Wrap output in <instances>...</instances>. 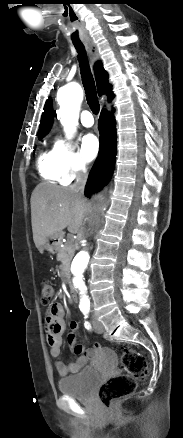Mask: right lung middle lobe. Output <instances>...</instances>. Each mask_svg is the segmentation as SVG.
Returning a JSON list of instances; mask_svg holds the SVG:
<instances>
[{"label": "right lung middle lobe", "instance_id": "obj_1", "mask_svg": "<svg viewBox=\"0 0 183 438\" xmlns=\"http://www.w3.org/2000/svg\"><path fill=\"white\" fill-rule=\"evenodd\" d=\"M45 135L39 136V139L41 140Z\"/></svg>", "mask_w": 183, "mask_h": 438}]
</instances>
